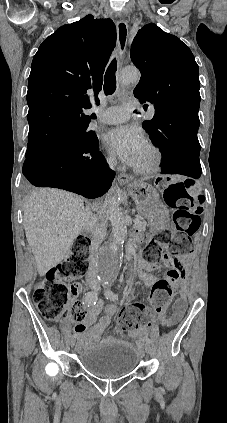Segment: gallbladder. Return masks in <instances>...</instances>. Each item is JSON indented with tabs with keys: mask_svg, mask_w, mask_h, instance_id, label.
I'll return each mask as SVG.
<instances>
[{
	"mask_svg": "<svg viewBox=\"0 0 227 423\" xmlns=\"http://www.w3.org/2000/svg\"><path fill=\"white\" fill-rule=\"evenodd\" d=\"M26 186H27V188H30V184H27V182H26Z\"/></svg>",
	"mask_w": 227,
	"mask_h": 423,
	"instance_id": "obj_1",
	"label": "gallbladder"
}]
</instances>
